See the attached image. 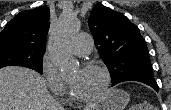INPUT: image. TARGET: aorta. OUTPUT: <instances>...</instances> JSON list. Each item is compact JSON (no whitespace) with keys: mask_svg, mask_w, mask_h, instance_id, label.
Listing matches in <instances>:
<instances>
[{"mask_svg":"<svg viewBox=\"0 0 171 110\" xmlns=\"http://www.w3.org/2000/svg\"><path fill=\"white\" fill-rule=\"evenodd\" d=\"M79 27L80 22L76 17L63 15L49 39L50 58L62 74L72 73L77 68V62L73 58L69 45Z\"/></svg>","mask_w":171,"mask_h":110,"instance_id":"obj_1","label":"aorta"}]
</instances>
